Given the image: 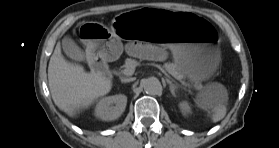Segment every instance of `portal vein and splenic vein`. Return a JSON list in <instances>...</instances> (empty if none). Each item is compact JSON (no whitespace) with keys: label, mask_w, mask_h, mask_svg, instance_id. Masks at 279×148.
I'll return each mask as SVG.
<instances>
[{"label":"portal vein and splenic vein","mask_w":279,"mask_h":148,"mask_svg":"<svg viewBox=\"0 0 279 148\" xmlns=\"http://www.w3.org/2000/svg\"><path fill=\"white\" fill-rule=\"evenodd\" d=\"M162 72H164V70L160 67V66H158V65H156ZM135 68V66L133 67V68H130V69H124L123 71H122V73L123 74H125V75H132L133 73H134V69ZM165 73V72H164Z\"/></svg>","instance_id":"portal-vein-and-splenic-vein-1"}]
</instances>
